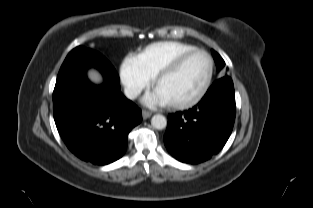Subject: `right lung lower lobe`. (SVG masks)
I'll return each instance as SVG.
<instances>
[{
	"mask_svg": "<svg viewBox=\"0 0 313 208\" xmlns=\"http://www.w3.org/2000/svg\"><path fill=\"white\" fill-rule=\"evenodd\" d=\"M89 68L104 82L91 83ZM54 119L69 150L80 159L105 165L126 151L130 130L142 120L141 110L120 91L119 76L100 53L79 47L62 64L53 92Z\"/></svg>",
	"mask_w": 313,
	"mask_h": 208,
	"instance_id": "1",
	"label": "right lung lower lobe"
}]
</instances>
